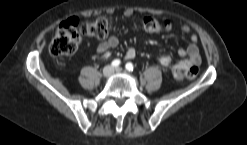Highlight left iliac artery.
I'll use <instances>...</instances> for the list:
<instances>
[{"label":"left iliac artery","instance_id":"44dca946","mask_svg":"<svg viewBox=\"0 0 247 145\" xmlns=\"http://www.w3.org/2000/svg\"><path fill=\"white\" fill-rule=\"evenodd\" d=\"M125 68L127 71L132 72L134 67L133 64L129 62L125 65Z\"/></svg>","mask_w":247,"mask_h":145}]
</instances>
